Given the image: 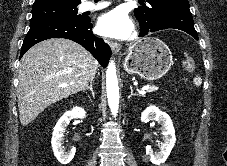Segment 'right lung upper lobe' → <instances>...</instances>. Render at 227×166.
<instances>
[{
  "label": "right lung upper lobe",
  "mask_w": 227,
  "mask_h": 166,
  "mask_svg": "<svg viewBox=\"0 0 227 166\" xmlns=\"http://www.w3.org/2000/svg\"><path fill=\"white\" fill-rule=\"evenodd\" d=\"M80 0H35L34 5L46 3H66V4H80Z\"/></svg>",
  "instance_id": "obj_1"
}]
</instances>
